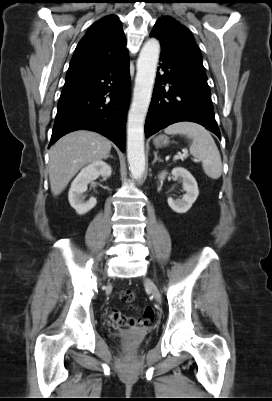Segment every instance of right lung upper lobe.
<instances>
[{
    "label": "right lung upper lobe",
    "instance_id": "obj_1",
    "mask_svg": "<svg viewBox=\"0 0 272 401\" xmlns=\"http://www.w3.org/2000/svg\"><path fill=\"white\" fill-rule=\"evenodd\" d=\"M125 52L126 39L120 20L115 15L105 16L89 27L77 45L65 82L94 73Z\"/></svg>",
    "mask_w": 272,
    "mask_h": 401
}]
</instances>
